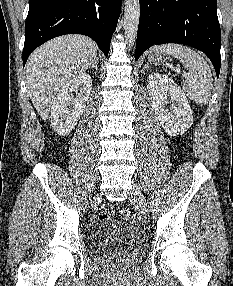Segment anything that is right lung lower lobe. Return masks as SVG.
I'll return each mask as SVG.
<instances>
[{
    "mask_svg": "<svg viewBox=\"0 0 233 286\" xmlns=\"http://www.w3.org/2000/svg\"><path fill=\"white\" fill-rule=\"evenodd\" d=\"M121 11V0H29L23 66L31 52L64 34L91 37L107 56Z\"/></svg>",
    "mask_w": 233,
    "mask_h": 286,
    "instance_id": "right-lung-lower-lobe-1",
    "label": "right lung lower lobe"
}]
</instances>
